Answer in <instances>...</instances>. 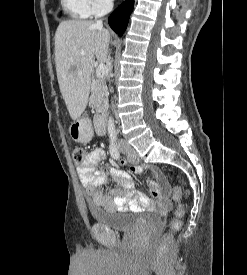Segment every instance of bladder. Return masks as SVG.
I'll use <instances>...</instances> for the list:
<instances>
[{"label":"bladder","instance_id":"1","mask_svg":"<svg viewBox=\"0 0 247 275\" xmlns=\"http://www.w3.org/2000/svg\"><path fill=\"white\" fill-rule=\"evenodd\" d=\"M90 212L97 224L104 225L113 231L129 232L138 225L153 226L162 221L157 214L145 212L136 219L130 212H110L95 205L90 206Z\"/></svg>","mask_w":247,"mask_h":275}]
</instances>
